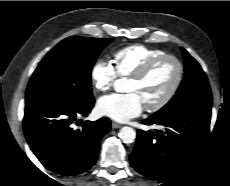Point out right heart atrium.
Returning a JSON list of instances; mask_svg holds the SVG:
<instances>
[{
	"mask_svg": "<svg viewBox=\"0 0 230 186\" xmlns=\"http://www.w3.org/2000/svg\"><path fill=\"white\" fill-rule=\"evenodd\" d=\"M90 79L93 88L98 92H106L114 85L117 74L112 64L104 59L97 60L91 68Z\"/></svg>",
	"mask_w": 230,
	"mask_h": 186,
	"instance_id": "obj_1",
	"label": "right heart atrium"
}]
</instances>
